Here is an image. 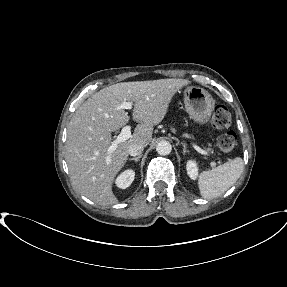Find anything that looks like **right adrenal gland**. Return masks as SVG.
Returning a JSON list of instances; mask_svg holds the SVG:
<instances>
[{"label": "right adrenal gland", "mask_w": 287, "mask_h": 287, "mask_svg": "<svg viewBox=\"0 0 287 287\" xmlns=\"http://www.w3.org/2000/svg\"><path fill=\"white\" fill-rule=\"evenodd\" d=\"M141 157H142V155H139V156H137V157H135V158H129V161H135V162H137Z\"/></svg>", "instance_id": "obj_1"}]
</instances>
